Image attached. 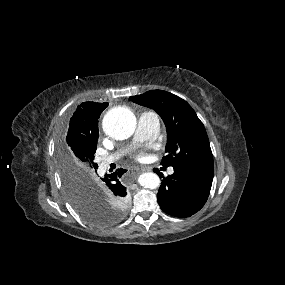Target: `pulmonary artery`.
Here are the masks:
<instances>
[{"label": "pulmonary artery", "instance_id": "obj_1", "mask_svg": "<svg viewBox=\"0 0 285 285\" xmlns=\"http://www.w3.org/2000/svg\"><path fill=\"white\" fill-rule=\"evenodd\" d=\"M160 130V120L154 112H144L138 120L137 130L135 134L136 141H147L154 139ZM119 154L110 155L100 159L102 165L107 166L116 161ZM173 173V169L169 170V174Z\"/></svg>", "mask_w": 285, "mask_h": 285}]
</instances>
